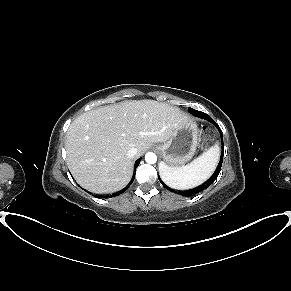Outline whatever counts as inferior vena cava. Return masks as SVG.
Masks as SVG:
<instances>
[{"mask_svg":"<svg viewBox=\"0 0 291 291\" xmlns=\"http://www.w3.org/2000/svg\"><path fill=\"white\" fill-rule=\"evenodd\" d=\"M137 155V148L132 147L127 151V157L132 159Z\"/></svg>","mask_w":291,"mask_h":291,"instance_id":"1","label":"inferior vena cava"}]
</instances>
